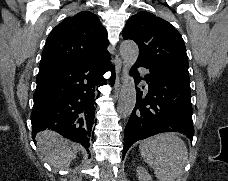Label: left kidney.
Returning <instances> with one entry per match:
<instances>
[{
    "mask_svg": "<svg viewBox=\"0 0 228 181\" xmlns=\"http://www.w3.org/2000/svg\"><path fill=\"white\" fill-rule=\"evenodd\" d=\"M136 171L138 175V181H152L151 175H149L148 171H146L144 167H137Z\"/></svg>",
    "mask_w": 228,
    "mask_h": 181,
    "instance_id": "1",
    "label": "left kidney"
}]
</instances>
